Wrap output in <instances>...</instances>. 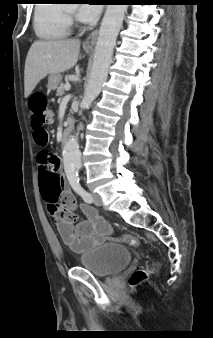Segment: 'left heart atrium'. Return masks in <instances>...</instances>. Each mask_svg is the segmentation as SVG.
Masks as SVG:
<instances>
[{
  "label": "left heart atrium",
  "instance_id": "left-heart-atrium-1",
  "mask_svg": "<svg viewBox=\"0 0 213 338\" xmlns=\"http://www.w3.org/2000/svg\"><path fill=\"white\" fill-rule=\"evenodd\" d=\"M101 9L102 5L83 4L79 9L78 18L85 23H94L98 20L101 14Z\"/></svg>",
  "mask_w": 213,
  "mask_h": 338
}]
</instances>
